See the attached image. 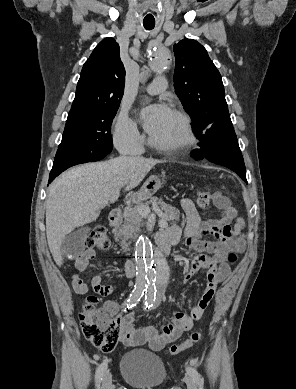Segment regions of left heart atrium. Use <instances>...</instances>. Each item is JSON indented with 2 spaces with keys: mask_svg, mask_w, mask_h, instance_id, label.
Returning a JSON list of instances; mask_svg holds the SVG:
<instances>
[{
  "mask_svg": "<svg viewBox=\"0 0 296 389\" xmlns=\"http://www.w3.org/2000/svg\"><path fill=\"white\" fill-rule=\"evenodd\" d=\"M170 112L169 108L165 105H154L145 108L141 113L145 130L150 135L155 134L161 128Z\"/></svg>",
  "mask_w": 296,
  "mask_h": 389,
  "instance_id": "obj_1",
  "label": "left heart atrium"
}]
</instances>
